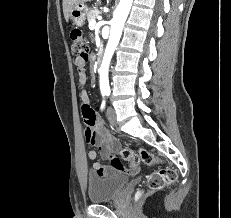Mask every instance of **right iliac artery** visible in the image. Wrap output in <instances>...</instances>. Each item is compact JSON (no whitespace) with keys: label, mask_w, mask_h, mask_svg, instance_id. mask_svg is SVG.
Segmentation results:
<instances>
[{"label":"right iliac artery","mask_w":231,"mask_h":218,"mask_svg":"<svg viewBox=\"0 0 231 218\" xmlns=\"http://www.w3.org/2000/svg\"><path fill=\"white\" fill-rule=\"evenodd\" d=\"M105 106V101H103L102 105H101V109H104Z\"/></svg>","instance_id":"obj_1"}]
</instances>
